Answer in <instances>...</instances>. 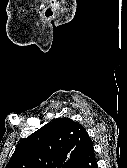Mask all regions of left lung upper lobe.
Instances as JSON below:
<instances>
[{
    "instance_id": "5c2ea615",
    "label": "left lung upper lobe",
    "mask_w": 127,
    "mask_h": 168,
    "mask_svg": "<svg viewBox=\"0 0 127 168\" xmlns=\"http://www.w3.org/2000/svg\"><path fill=\"white\" fill-rule=\"evenodd\" d=\"M89 135L70 118H57L24 138L6 168H76Z\"/></svg>"
}]
</instances>
